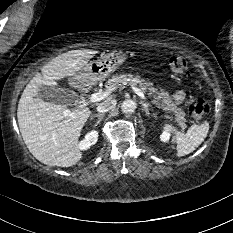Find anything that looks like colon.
Returning a JSON list of instances; mask_svg holds the SVG:
<instances>
[{"mask_svg":"<svg viewBox=\"0 0 233 233\" xmlns=\"http://www.w3.org/2000/svg\"><path fill=\"white\" fill-rule=\"evenodd\" d=\"M171 70L179 75L187 73L186 60L180 55H172L168 59ZM206 112V103L202 99L192 100L188 107V113L194 118H200Z\"/></svg>","mask_w":233,"mask_h":233,"instance_id":"5ec220e1","label":"colon"}]
</instances>
